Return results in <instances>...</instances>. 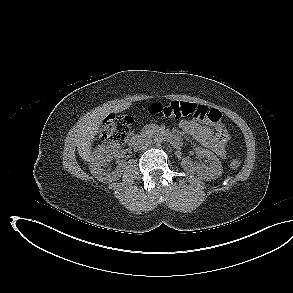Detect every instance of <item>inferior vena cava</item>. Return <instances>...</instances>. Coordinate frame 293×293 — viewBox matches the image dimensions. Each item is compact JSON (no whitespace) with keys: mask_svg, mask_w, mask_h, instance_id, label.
Here are the masks:
<instances>
[{"mask_svg":"<svg viewBox=\"0 0 293 293\" xmlns=\"http://www.w3.org/2000/svg\"><path fill=\"white\" fill-rule=\"evenodd\" d=\"M152 143V140L150 138H142L139 137L136 141V150H145L147 149Z\"/></svg>","mask_w":293,"mask_h":293,"instance_id":"602c4592","label":"inferior vena cava"}]
</instances>
